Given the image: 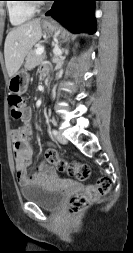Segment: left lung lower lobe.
<instances>
[{
  "instance_id": "1",
  "label": "left lung lower lobe",
  "mask_w": 133,
  "mask_h": 253,
  "mask_svg": "<svg viewBox=\"0 0 133 253\" xmlns=\"http://www.w3.org/2000/svg\"><path fill=\"white\" fill-rule=\"evenodd\" d=\"M52 8L46 13L74 33H95L93 3L99 0H53ZM67 1L66 5L63 2Z\"/></svg>"
}]
</instances>
